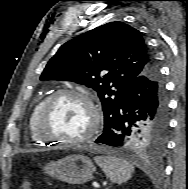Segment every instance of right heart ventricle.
Instances as JSON below:
<instances>
[{"label":"right heart ventricle","instance_id":"obj_1","mask_svg":"<svg viewBox=\"0 0 188 189\" xmlns=\"http://www.w3.org/2000/svg\"><path fill=\"white\" fill-rule=\"evenodd\" d=\"M47 97H44L42 99H40L32 108L31 113L29 115V120H28V130H29V136L30 139L33 143L37 144V145H44L45 142L41 141L35 132V122H36V118L37 115L44 103V101L46 100Z\"/></svg>","mask_w":188,"mask_h":189}]
</instances>
